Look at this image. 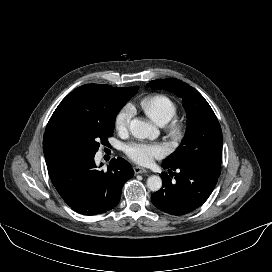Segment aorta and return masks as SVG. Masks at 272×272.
<instances>
[{
  "mask_svg": "<svg viewBox=\"0 0 272 272\" xmlns=\"http://www.w3.org/2000/svg\"><path fill=\"white\" fill-rule=\"evenodd\" d=\"M130 131L132 135L139 139H155L158 136V130L150 122L135 118L130 122ZM147 187L153 191H159L162 187V180L157 175H152L147 179Z\"/></svg>",
  "mask_w": 272,
  "mask_h": 272,
  "instance_id": "aorta-1",
  "label": "aorta"
}]
</instances>
